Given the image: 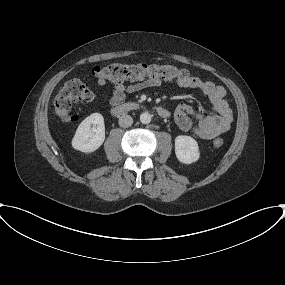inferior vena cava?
Instances as JSON below:
<instances>
[{"mask_svg":"<svg viewBox=\"0 0 285 285\" xmlns=\"http://www.w3.org/2000/svg\"><path fill=\"white\" fill-rule=\"evenodd\" d=\"M133 123V118L130 115L123 114L119 118V125L120 127L127 128L130 127Z\"/></svg>","mask_w":285,"mask_h":285,"instance_id":"inferior-vena-cava-1","label":"inferior vena cava"}]
</instances>
